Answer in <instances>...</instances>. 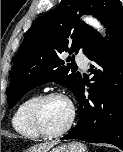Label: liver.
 Masks as SVG:
<instances>
[{
    "label": "liver",
    "mask_w": 123,
    "mask_h": 152,
    "mask_svg": "<svg viewBox=\"0 0 123 152\" xmlns=\"http://www.w3.org/2000/svg\"><path fill=\"white\" fill-rule=\"evenodd\" d=\"M55 144V142L41 143L33 147H30L26 152H49Z\"/></svg>",
    "instance_id": "1"
}]
</instances>
